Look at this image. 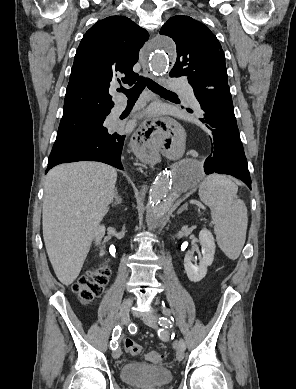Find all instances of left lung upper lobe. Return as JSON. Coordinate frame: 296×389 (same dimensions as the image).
Returning <instances> with one entry per match:
<instances>
[{
  "mask_svg": "<svg viewBox=\"0 0 296 389\" xmlns=\"http://www.w3.org/2000/svg\"><path fill=\"white\" fill-rule=\"evenodd\" d=\"M160 34L171 37L177 47L170 76L187 78L195 96L202 90L229 87L224 52L206 25L177 15L162 26Z\"/></svg>",
  "mask_w": 296,
  "mask_h": 389,
  "instance_id": "5c2ea615",
  "label": "left lung upper lobe"
}]
</instances>
